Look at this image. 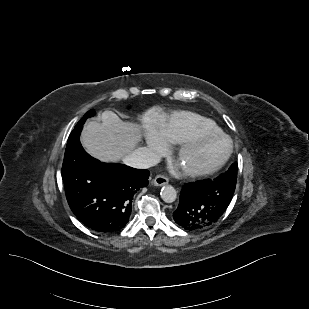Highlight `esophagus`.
Segmentation results:
<instances>
[{
	"instance_id": "obj_1",
	"label": "esophagus",
	"mask_w": 309,
	"mask_h": 309,
	"mask_svg": "<svg viewBox=\"0 0 309 309\" xmlns=\"http://www.w3.org/2000/svg\"><path fill=\"white\" fill-rule=\"evenodd\" d=\"M168 178L164 175H157L152 183L155 185V186H162V185H166L168 183Z\"/></svg>"
}]
</instances>
